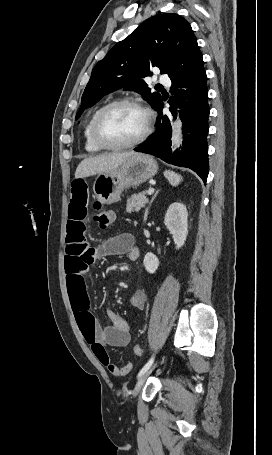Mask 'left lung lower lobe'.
<instances>
[{
	"label": "left lung lower lobe",
	"mask_w": 272,
	"mask_h": 455,
	"mask_svg": "<svg viewBox=\"0 0 272 455\" xmlns=\"http://www.w3.org/2000/svg\"><path fill=\"white\" fill-rule=\"evenodd\" d=\"M170 79L172 81L170 92L174 95L168 101L171 105L170 111L176 117L177 108H180L183 122L181 151L172 153V127L169 118L161 113L164 106L163 100L156 107L160 116L156 121L155 133L134 150L154 155L173 165L190 168L206 182L209 172L206 137L209 131L210 109L202 56L170 76Z\"/></svg>",
	"instance_id": "left-lung-lower-lobe-1"
}]
</instances>
